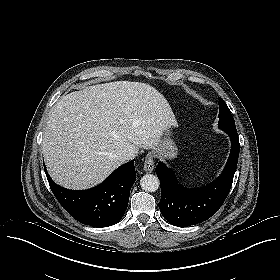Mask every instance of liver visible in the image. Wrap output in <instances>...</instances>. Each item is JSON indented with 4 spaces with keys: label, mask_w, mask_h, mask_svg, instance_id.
<instances>
[{
    "label": "liver",
    "mask_w": 280,
    "mask_h": 280,
    "mask_svg": "<svg viewBox=\"0 0 280 280\" xmlns=\"http://www.w3.org/2000/svg\"><path fill=\"white\" fill-rule=\"evenodd\" d=\"M177 121L165 97L146 83L116 81L62 96L49 112L43 157L59 185L94 187L127 151L155 149Z\"/></svg>",
    "instance_id": "6515ba94"
}]
</instances>
